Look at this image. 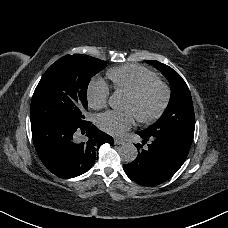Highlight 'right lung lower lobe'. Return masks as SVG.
Instances as JSON below:
<instances>
[{"label":"right lung lower lobe","mask_w":228,"mask_h":228,"mask_svg":"<svg viewBox=\"0 0 228 228\" xmlns=\"http://www.w3.org/2000/svg\"><path fill=\"white\" fill-rule=\"evenodd\" d=\"M31 129L39 158L50 172L62 178L88 171L95 163L100 145L114 144L111 136L89 121L78 126L54 120L37 121L31 123Z\"/></svg>","instance_id":"98d812e1"}]
</instances>
